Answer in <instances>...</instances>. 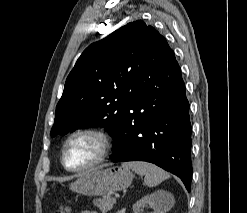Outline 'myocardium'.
<instances>
[{
  "instance_id": "f54148a6",
  "label": "myocardium",
  "mask_w": 247,
  "mask_h": 213,
  "mask_svg": "<svg viewBox=\"0 0 247 213\" xmlns=\"http://www.w3.org/2000/svg\"><path fill=\"white\" fill-rule=\"evenodd\" d=\"M80 135H91L97 138L100 143V151L97 157L89 164L83 167H79V168H71L66 164V161H65L66 148L73 138L80 136ZM112 145H113L112 138L110 134L106 132L105 130L99 129V128H93V127L80 128V129H77L71 132L64 140L62 148H61L60 160H61L63 167L69 172H73V173L85 172V171H88V170H91L97 167L102 162H104L111 152Z\"/></svg>"
}]
</instances>
